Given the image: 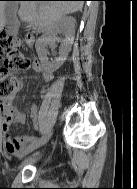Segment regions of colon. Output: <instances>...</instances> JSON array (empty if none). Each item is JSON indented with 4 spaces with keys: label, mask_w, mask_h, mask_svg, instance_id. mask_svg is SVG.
<instances>
[{
    "label": "colon",
    "mask_w": 137,
    "mask_h": 189,
    "mask_svg": "<svg viewBox=\"0 0 137 189\" xmlns=\"http://www.w3.org/2000/svg\"><path fill=\"white\" fill-rule=\"evenodd\" d=\"M0 60L4 63L0 68V103H8L21 87L19 75L35 62L26 56L20 38L5 31H0Z\"/></svg>",
    "instance_id": "colon-1"
}]
</instances>
